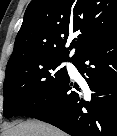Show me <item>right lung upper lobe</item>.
Masks as SVG:
<instances>
[{"instance_id":"obj_1","label":"right lung upper lobe","mask_w":117,"mask_h":136,"mask_svg":"<svg viewBox=\"0 0 117 136\" xmlns=\"http://www.w3.org/2000/svg\"><path fill=\"white\" fill-rule=\"evenodd\" d=\"M117 33V0H32L8 63L48 55L73 60ZM69 36H75L65 48Z\"/></svg>"}]
</instances>
